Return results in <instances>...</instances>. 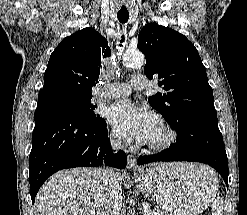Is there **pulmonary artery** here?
Wrapping results in <instances>:
<instances>
[{
	"mask_svg": "<svg viewBox=\"0 0 247 215\" xmlns=\"http://www.w3.org/2000/svg\"><path fill=\"white\" fill-rule=\"evenodd\" d=\"M148 86L145 76H132L130 83H114L109 84L100 92L103 98H122L130 94L131 90H142Z\"/></svg>",
	"mask_w": 247,
	"mask_h": 215,
	"instance_id": "obj_1",
	"label": "pulmonary artery"
}]
</instances>
